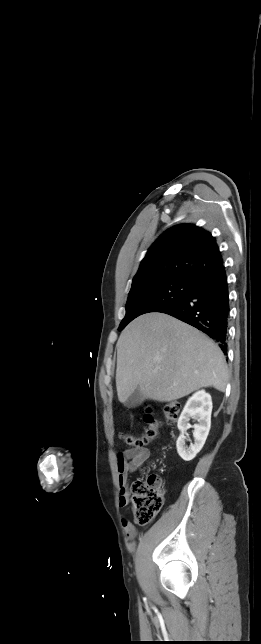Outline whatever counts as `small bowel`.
I'll list each match as a JSON object with an SVG mask.
<instances>
[{
  "instance_id": "1",
  "label": "small bowel",
  "mask_w": 261,
  "mask_h": 644,
  "mask_svg": "<svg viewBox=\"0 0 261 644\" xmlns=\"http://www.w3.org/2000/svg\"><path fill=\"white\" fill-rule=\"evenodd\" d=\"M150 457L151 451L147 448L128 449L117 456L118 484L120 489L119 504L121 507H125L129 503V476L137 472ZM122 526L126 536L130 540L136 538L138 532L128 520L123 519Z\"/></svg>"
}]
</instances>
